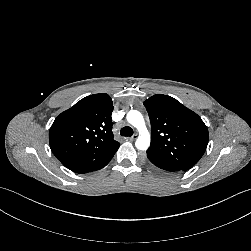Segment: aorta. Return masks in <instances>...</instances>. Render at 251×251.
Here are the masks:
<instances>
[{
	"mask_svg": "<svg viewBox=\"0 0 251 251\" xmlns=\"http://www.w3.org/2000/svg\"><path fill=\"white\" fill-rule=\"evenodd\" d=\"M127 121L138 129L139 136L135 142L138 150L145 151L150 146V134L146 128L142 114L137 110H131L127 113Z\"/></svg>",
	"mask_w": 251,
	"mask_h": 251,
	"instance_id": "obj_1",
	"label": "aorta"
}]
</instances>
